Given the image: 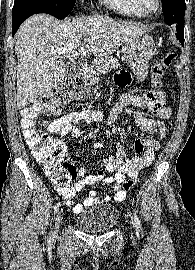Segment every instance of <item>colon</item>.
Returning <instances> with one entry per match:
<instances>
[{"instance_id":"5ec220e1","label":"colon","mask_w":195,"mask_h":270,"mask_svg":"<svg viewBox=\"0 0 195 270\" xmlns=\"http://www.w3.org/2000/svg\"><path fill=\"white\" fill-rule=\"evenodd\" d=\"M176 59L173 52L166 53L152 68L153 90L146 94L147 104L161 106L165 104L166 93L163 90V70ZM87 92V85L82 77H74L44 94L31 106L21 112V126L26 142L37 162L44 172L51 178L52 184L59 191L69 189L70 176L66 173L63 156L66 151L61 140L53 139L41 131L39 115L42 113L60 114L64 106L71 100L83 97ZM171 126L169 125L168 128ZM138 182V177L126 180L121 189L125 192L131 190Z\"/></svg>"}]
</instances>
